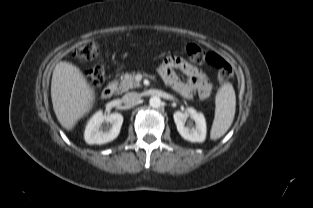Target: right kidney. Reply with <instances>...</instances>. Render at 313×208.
<instances>
[{
	"instance_id": "right-kidney-1",
	"label": "right kidney",
	"mask_w": 313,
	"mask_h": 208,
	"mask_svg": "<svg viewBox=\"0 0 313 208\" xmlns=\"http://www.w3.org/2000/svg\"><path fill=\"white\" fill-rule=\"evenodd\" d=\"M107 126L103 127L102 123ZM123 123V116L119 113L103 115L102 111L96 112L88 121L84 139L88 144H105L117 138Z\"/></svg>"
}]
</instances>
